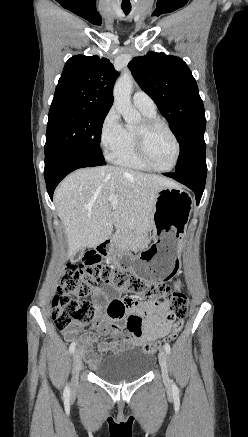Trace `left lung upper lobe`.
Masks as SVG:
<instances>
[{
	"instance_id": "1",
	"label": "left lung upper lobe",
	"mask_w": 248,
	"mask_h": 437,
	"mask_svg": "<svg viewBox=\"0 0 248 437\" xmlns=\"http://www.w3.org/2000/svg\"><path fill=\"white\" fill-rule=\"evenodd\" d=\"M135 80L156 103L180 145L176 171L205 153V110L186 63L176 56L149 52L128 64Z\"/></svg>"
}]
</instances>
